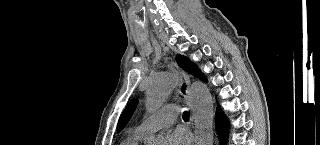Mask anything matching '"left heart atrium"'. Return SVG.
Masks as SVG:
<instances>
[{
	"label": "left heart atrium",
	"mask_w": 320,
	"mask_h": 145,
	"mask_svg": "<svg viewBox=\"0 0 320 145\" xmlns=\"http://www.w3.org/2000/svg\"><path fill=\"white\" fill-rule=\"evenodd\" d=\"M169 145H190L191 137L184 129L175 130L168 138Z\"/></svg>",
	"instance_id": "1"
}]
</instances>
